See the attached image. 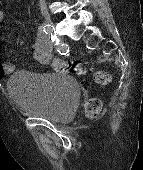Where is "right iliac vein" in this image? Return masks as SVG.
Returning a JSON list of instances; mask_svg holds the SVG:
<instances>
[{"mask_svg":"<svg viewBox=\"0 0 143 170\" xmlns=\"http://www.w3.org/2000/svg\"><path fill=\"white\" fill-rule=\"evenodd\" d=\"M43 16H44V18H45V20H46V22L48 23V24H53V20H52V18L50 17V15H49V13L48 12H44L43 13Z\"/></svg>","mask_w":143,"mask_h":170,"instance_id":"obj_1","label":"right iliac vein"}]
</instances>
